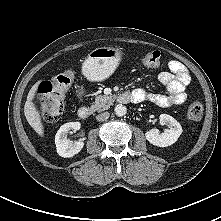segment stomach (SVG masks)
Segmentation results:
<instances>
[{
	"mask_svg": "<svg viewBox=\"0 0 221 221\" xmlns=\"http://www.w3.org/2000/svg\"><path fill=\"white\" fill-rule=\"evenodd\" d=\"M122 58V51L113 47L92 50L82 65V73L91 81H102L111 76Z\"/></svg>",
	"mask_w": 221,
	"mask_h": 221,
	"instance_id": "stomach-1",
	"label": "stomach"
}]
</instances>
